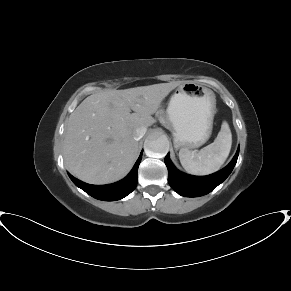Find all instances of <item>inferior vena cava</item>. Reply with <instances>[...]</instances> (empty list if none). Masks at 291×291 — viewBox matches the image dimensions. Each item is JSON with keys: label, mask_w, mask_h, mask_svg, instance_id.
<instances>
[{"label": "inferior vena cava", "mask_w": 291, "mask_h": 291, "mask_svg": "<svg viewBox=\"0 0 291 291\" xmlns=\"http://www.w3.org/2000/svg\"><path fill=\"white\" fill-rule=\"evenodd\" d=\"M146 133V128L145 127H140L137 128L134 132H133V138L138 141L140 140Z\"/></svg>", "instance_id": "602c4592"}]
</instances>
